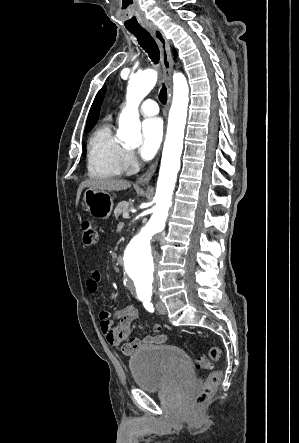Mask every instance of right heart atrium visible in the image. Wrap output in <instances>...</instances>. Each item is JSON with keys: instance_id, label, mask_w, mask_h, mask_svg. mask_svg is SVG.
Wrapping results in <instances>:
<instances>
[{"instance_id": "1", "label": "right heart atrium", "mask_w": 299, "mask_h": 443, "mask_svg": "<svg viewBox=\"0 0 299 443\" xmlns=\"http://www.w3.org/2000/svg\"><path fill=\"white\" fill-rule=\"evenodd\" d=\"M123 163L127 170H133L137 166V159L132 150L126 149L124 151Z\"/></svg>"}]
</instances>
